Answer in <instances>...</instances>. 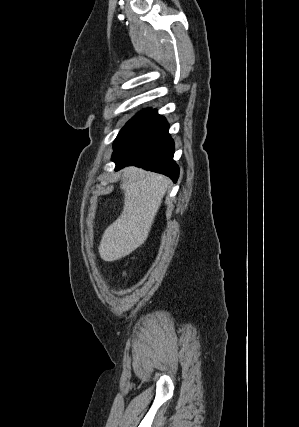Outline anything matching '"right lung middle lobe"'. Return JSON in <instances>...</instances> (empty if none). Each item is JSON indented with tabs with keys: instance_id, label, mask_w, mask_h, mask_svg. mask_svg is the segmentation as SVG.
<instances>
[{
	"instance_id": "dd1d6c3e",
	"label": "right lung middle lobe",
	"mask_w": 299,
	"mask_h": 427,
	"mask_svg": "<svg viewBox=\"0 0 299 427\" xmlns=\"http://www.w3.org/2000/svg\"><path fill=\"white\" fill-rule=\"evenodd\" d=\"M150 112V109H145L138 114H136L131 120H129L126 125L121 129L118 136L114 141V147L122 141L125 137H127L133 129L139 124V122L145 118V116Z\"/></svg>"
}]
</instances>
